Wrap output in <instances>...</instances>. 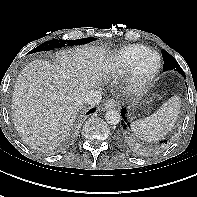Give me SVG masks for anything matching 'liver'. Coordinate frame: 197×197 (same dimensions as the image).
<instances>
[{
	"instance_id": "liver-1",
	"label": "liver",
	"mask_w": 197,
	"mask_h": 197,
	"mask_svg": "<svg viewBox=\"0 0 197 197\" xmlns=\"http://www.w3.org/2000/svg\"><path fill=\"white\" fill-rule=\"evenodd\" d=\"M105 49L85 46L56 54V63L30 62L18 75L12 117L22 140L52 150L68 135L87 91L99 87L111 68Z\"/></svg>"
}]
</instances>
